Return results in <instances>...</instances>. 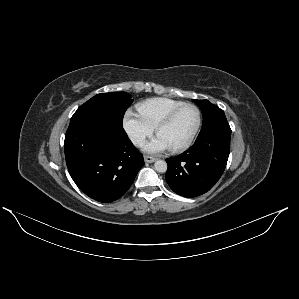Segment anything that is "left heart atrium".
Returning <instances> with one entry per match:
<instances>
[{
	"instance_id": "left-heart-atrium-1",
	"label": "left heart atrium",
	"mask_w": 299,
	"mask_h": 299,
	"mask_svg": "<svg viewBox=\"0 0 299 299\" xmlns=\"http://www.w3.org/2000/svg\"><path fill=\"white\" fill-rule=\"evenodd\" d=\"M170 148L171 147L166 140L158 134L157 137L144 146V151L150 154H158Z\"/></svg>"
}]
</instances>
